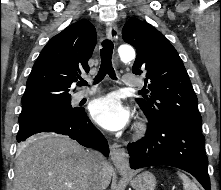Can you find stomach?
I'll use <instances>...</instances> for the list:
<instances>
[{"instance_id": "obj_1", "label": "stomach", "mask_w": 221, "mask_h": 190, "mask_svg": "<svg viewBox=\"0 0 221 190\" xmlns=\"http://www.w3.org/2000/svg\"><path fill=\"white\" fill-rule=\"evenodd\" d=\"M121 174L129 179L130 185L135 190H155L157 184L156 178L148 171L140 173L134 177H128L123 171H121Z\"/></svg>"}]
</instances>
